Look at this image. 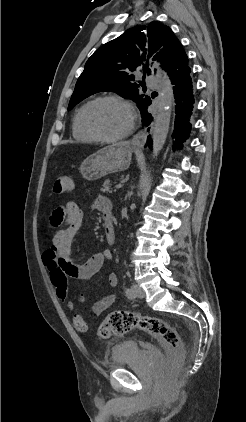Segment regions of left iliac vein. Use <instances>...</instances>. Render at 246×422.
<instances>
[{"mask_svg": "<svg viewBox=\"0 0 246 422\" xmlns=\"http://www.w3.org/2000/svg\"><path fill=\"white\" fill-rule=\"evenodd\" d=\"M132 289L134 290V292H135V294H136V296L138 297V298H143V297H145V291L140 287V286H138V285H133L132 286Z\"/></svg>", "mask_w": 246, "mask_h": 422, "instance_id": "left-iliac-vein-1", "label": "left iliac vein"}]
</instances>
